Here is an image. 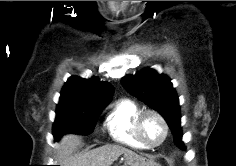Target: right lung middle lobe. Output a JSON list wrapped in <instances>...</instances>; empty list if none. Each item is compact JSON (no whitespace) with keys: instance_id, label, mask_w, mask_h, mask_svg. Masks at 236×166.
Here are the masks:
<instances>
[{"instance_id":"dd1d6c3e","label":"right lung middle lobe","mask_w":236,"mask_h":166,"mask_svg":"<svg viewBox=\"0 0 236 166\" xmlns=\"http://www.w3.org/2000/svg\"><path fill=\"white\" fill-rule=\"evenodd\" d=\"M106 106L59 103L53 124V135L58 140L65 133L88 135L94 131L99 114Z\"/></svg>"}]
</instances>
